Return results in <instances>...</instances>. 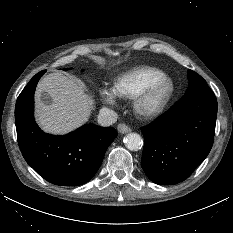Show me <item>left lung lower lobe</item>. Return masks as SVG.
I'll use <instances>...</instances> for the list:
<instances>
[{
    "label": "left lung lower lobe",
    "instance_id": "0a47b994",
    "mask_svg": "<svg viewBox=\"0 0 233 233\" xmlns=\"http://www.w3.org/2000/svg\"><path fill=\"white\" fill-rule=\"evenodd\" d=\"M217 100L211 89L184 95L155 122L142 127L141 165L156 184L187 179L213 145Z\"/></svg>",
    "mask_w": 233,
    "mask_h": 233
}]
</instances>
